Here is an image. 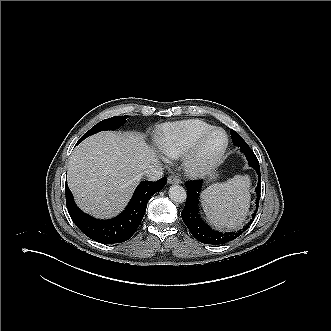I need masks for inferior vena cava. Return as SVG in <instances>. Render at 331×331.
Segmentation results:
<instances>
[{"instance_id":"obj_1","label":"inferior vena cava","mask_w":331,"mask_h":331,"mask_svg":"<svg viewBox=\"0 0 331 331\" xmlns=\"http://www.w3.org/2000/svg\"><path fill=\"white\" fill-rule=\"evenodd\" d=\"M143 175L148 181H157L163 176V168L161 165H153L145 169Z\"/></svg>"}]
</instances>
